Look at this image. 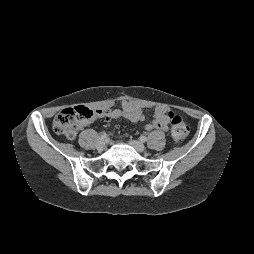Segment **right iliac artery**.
<instances>
[{
	"instance_id": "1",
	"label": "right iliac artery",
	"mask_w": 254,
	"mask_h": 254,
	"mask_svg": "<svg viewBox=\"0 0 254 254\" xmlns=\"http://www.w3.org/2000/svg\"><path fill=\"white\" fill-rule=\"evenodd\" d=\"M107 136H108V135H107L105 132H103V133L101 134V138H102V139L107 138Z\"/></svg>"
}]
</instances>
